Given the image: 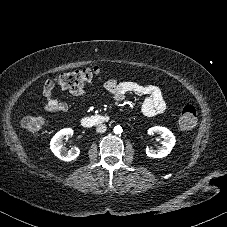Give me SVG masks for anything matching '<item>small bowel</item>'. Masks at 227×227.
Segmentation results:
<instances>
[{"label":"small bowel","mask_w":227,"mask_h":227,"mask_svg":"<svg viewBox=\"0 0 227 227\" xmlns=\"http://www.w3.org/2000/svg\"><path fill=\"white\" fill-rule=\"evenodd\" d=\"M104 88L111 94L114 100L121 101L125 95L134 93L143 97L142 111L146 116H155L161 114L166 109V103L161 89L155 85H142L133 81L119 82L115 79H108L104 83ZM54 81L48 79L43 87V97L45 102L43 109L46 111H56L68 113L69 105L53 96ZM73 96L79 97L85 95L87 91L84 88L70 91Z\"/></svg>","instance_id":"obj_1"}]
</instances>
